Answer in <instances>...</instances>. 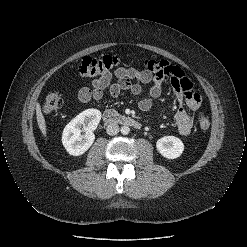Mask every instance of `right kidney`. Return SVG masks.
Wrapping results in <instances>:
<instances>
[{
  "instance_id": "obj_1",
  "label": "right kidney",
  "mask_w": 247,
  "mask_h": 247,
  "mask_svg": "<svg viewBox=\"0 0 247 247\" xmlns=\"http://www.w3.org/2000/svg\"><path fill=\"white\" fill-rule=\"evenodd\" d=\"M100 120L101 112L99 110L87 109L65 126L62 143L70 155L80 156L91 147L95 140L93 131L97 128Z\"/></svg>"
}]
</instances>
